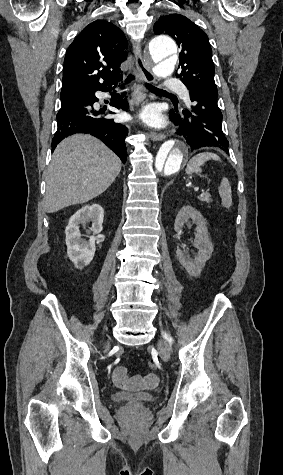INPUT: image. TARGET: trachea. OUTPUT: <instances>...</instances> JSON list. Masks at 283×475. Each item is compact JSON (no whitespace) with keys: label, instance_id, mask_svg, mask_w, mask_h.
Instances as JSON below:
<instances>
[{"label":"trachea","instance_id":"obj_1","mask_svg":"<svg viewBox=\"0 0 283 475\" xmlns=\"http://www.w3.org/2000/svg\"><path fill=\"white\" fill-rule=\"evenodd\" d=\"M134 79H135V76L130 74V75H128V77L126 79V83H131ZM144 85L152 93H156L158 95H162V94L167 95L168 94V92H165V90H161L160 88H156L153 85H150L149 83H145ZM168 95H171V94H168Z\"/></svg>","mask_w":283,"mask_h":475}]
</instances>
